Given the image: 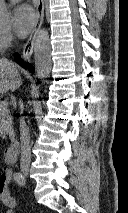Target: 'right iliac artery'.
Segmentation results:
<instances>
[{"label":"right iliac artery","mask_w":128,"mask_h":213,"mask_svg":"<svg viewBox=\"0 0 128 213\" xmlns=\"http://www.w3.org/2000/svg\"><path fill=\"white\" fill-rule=\"evenodd\" d=\"M14 180L16 181L17 184L20 186H25V178L22 176L21 173L15 172L14 173Z\"/></svg>","instance_id":"82829eb1"}]
</instances>
